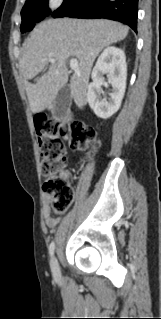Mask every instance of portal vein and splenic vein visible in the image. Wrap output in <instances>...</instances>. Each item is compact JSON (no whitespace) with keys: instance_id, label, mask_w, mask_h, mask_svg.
I'll use <instances>...</instances> for the list:
<instances>
[{"instance_id":"18ae733b","label":"portal vein and splenic vein","mask_w":161,"mask_h":319,"mask_svg":"<svg viewBox=\"0 0 161 319\" xmlns=\"http://www.w3.org/2000/svg\"><path fill=\"white\" fill-rule=\"evenodd\" d=\"M48 61L50 62V63H54L55 62V60L52 58V57H49L48 58ZM70 67H71V69H77L78 68V61H77V59H71L70 60Z\"/></svg>"}]
</instances>
